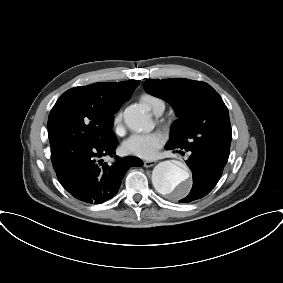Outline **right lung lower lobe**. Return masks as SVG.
Returning <instances> with one entry per match:
<instances>
[{"label": "right lung lower lobe", "mask_w": 283, "mask_h": 283, "mask_svg": "<svg viewBox=\"0 0 283 283\" xmlns=\"http://www.w3.org/2000/svg\"><path fill=\"white\" fill-rule=\"evenodd\" d=\"M117 145L116 139L106 146L80 144L71 150L52 151L58 180L73 197L86 203L100 204L113 198L127 170L143 165L132 156L119 158L113 165L102 163V157L114 156Z\"/></svg>", "instance_id": "98d812e1"}]
</instances>
